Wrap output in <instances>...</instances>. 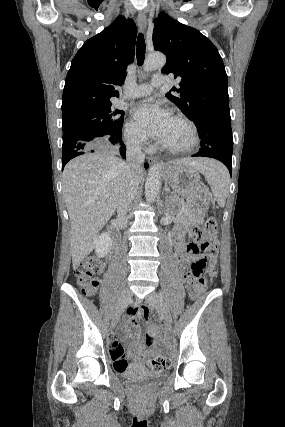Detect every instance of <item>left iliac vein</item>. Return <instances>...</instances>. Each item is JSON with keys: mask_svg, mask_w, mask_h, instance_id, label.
I'll return each instance as SVG.
<instances>
[{"mask_svg": "<svg viewBox=\"0 0 285 427\" xmlns=\"http://www.w3.org/2000/svg\"><path fill=\"white\" fill-rule=\"evenodd\" d=\"M146 301L162 315L166 324L172 329V316L163 298L156 292H151L146 297Z\"/></svg>", "mask_w": 285, "mask_h": 427, "instance_id": "obj_1", "label": "left iliac vein"}]
</instances>
